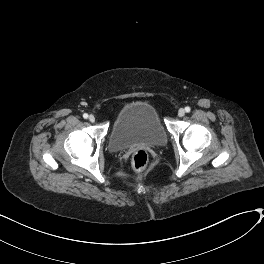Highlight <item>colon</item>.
<instances>
[{
  "mask_svg": "<svg viewBox=\"0 0 264 264\" xmlns=\"http://www.w3.org/2000/svg\"><path fill=\"white\" fill-rule=\"evenodd\" d=\"M148 163V153L144 149L137 150L132 157V165L135 170L142 171Z\"/></svg>",
  "mask_w": 264,
  "mask_h": 264,
  "instance_id": "obj_1",
  "label": "colon"
}]
</instances>
